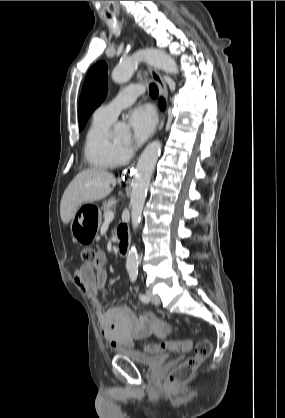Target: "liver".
Wrapping results in <instances>:
<instances>
[{
  "label": "liver",
  "instance_id": "obj_1",
  "mask_svg": "<svg viewBox=\"0 0 285 418\" xmlns=\"http://www.w3.org/2000/svg\"><path fill=\"white\" fill-rule=\"evenodd\" d=\"M115 184L114 175L99 168L79 172L67 186L60 203V216L68 224L83 203H93L107 197Z\"/></svg>",
  "mask_w": 285,
  "mask_h": 418
}]
</instances>
